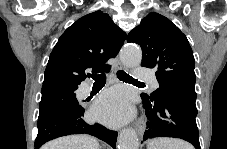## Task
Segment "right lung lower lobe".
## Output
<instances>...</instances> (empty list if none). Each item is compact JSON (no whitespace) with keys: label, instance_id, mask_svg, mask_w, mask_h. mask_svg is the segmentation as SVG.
I'll return each instance as SVG.
<instances>
[{"label":"right lung lower lobe","instance_id":"obj_1","mask_svg":"<svg viewBox=\"0 0 227 149\" xmlns=\"http://www.w3.org/2000/svg\"><path fill=\"white\" fill-rule=\"evenodd\" d=\"M83 115V108L81 110L62 109L39 118L35 149L40 148L47 141L71 134H89L115 148L117 132L106 129L98 123L89 125L83 120Z\"/></svg>","mask_w":227,"mask_h":149}]
</instances>
